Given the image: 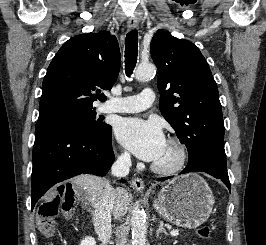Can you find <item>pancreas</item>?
<instances>
[{
  "label": "pancreas",
  "mask_w": 266,
  "mask_h": 245,
  "mask_svg": "<svg viewBox=\"0 0 266 245\" xmlns=\"http://www.w3.org/2000/svg\"><path fill=\"white\" fill-rule=\"evenodd\" d=\"M175 231H179V229H175Z\"/></svg>",
  "instance_id": "1"
}]
</instances>
